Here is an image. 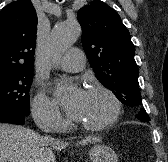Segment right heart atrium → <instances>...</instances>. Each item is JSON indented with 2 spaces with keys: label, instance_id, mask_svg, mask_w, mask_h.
I'll return each mask as SVG.
<instances>
[{
  "label": "right heart atrium",
  "instance_id": "1",
  "mask_svg": "<svg viewBox=\"0 0 168 162\" xmlns=\"http://www.w3.org/2000/svg\"><path fill=\"white\" fill-rule=\"evenodd\" d=\"M32 116L43 129L59 131L65 126V119L53 100L38 92L31 103Z\"/></svg>",
  "mask_w": 168,
  "mask_h": 162
}]
</instances>
